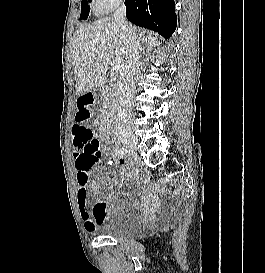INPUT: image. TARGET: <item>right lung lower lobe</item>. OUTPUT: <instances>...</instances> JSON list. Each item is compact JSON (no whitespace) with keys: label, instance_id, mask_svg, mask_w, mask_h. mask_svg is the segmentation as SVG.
I'll list each match as a JSON object with an SVG mask.
<instances>
[{"label":"right lung lower lobe","instance_id":"obj_1","mask_svg":"<svg viewBox=\"0 0 265 273\" xmlns=\"http://www.w3.org/2000/svg\"><path fill=\"white\" fill-rule=\"evenodd\" d=\"M126 17L132 23L171 37L176 29L174 0H125Z\"/></svg>","mask_w":265,"mask_h":273}]
</instances>
